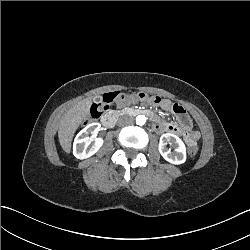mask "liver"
I'll return each mask as SVG.
<instances>
[{
    "label": "liver",
    "instance_id": "obj_1",
    "mask_svg": "<svg viewBox=\"0 0 250 250\" xmlns=\"http://www.w3.org/2000/svg\"><path fill=\"white\" fill-rule=\"evenodd\" d=\"M91 98L78 101L62 118L58 130V137L61 147L70 151L71 139L78 124L87 118Z\"/></svg>",
    "mask_w": 250,
    "mask_h": 250
}]
</instances>
